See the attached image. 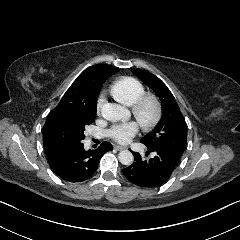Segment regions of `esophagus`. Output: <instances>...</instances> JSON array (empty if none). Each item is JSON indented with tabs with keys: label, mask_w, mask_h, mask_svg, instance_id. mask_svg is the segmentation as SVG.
Returning a JSON list of instances; mask_svg holds the SVG:
<instances>
[{
	"label": "esophagus",
	"mask_w": 240,
	"mask_h": 240,
	"mask_svg": "<svg viewBox=\"0 0 240 240\" xmlns=\"http://www.w3.org/2000/svg\"><path fill=\"white\" fill-rule=\"evenodd\" d=\"M115 149L120 151V150H126L127 147L126 146L115 145Z\"/></svg>",
	"instance_id": "esophagus-1"
}]
</instances>
